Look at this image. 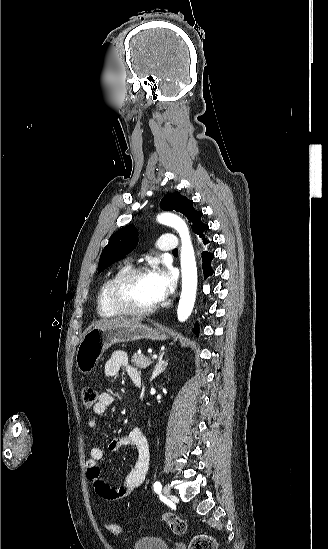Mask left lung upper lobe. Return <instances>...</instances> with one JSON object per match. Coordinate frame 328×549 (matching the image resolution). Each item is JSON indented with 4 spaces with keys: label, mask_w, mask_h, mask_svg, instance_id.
Masks as SVG:
<instances>
[{
    "label": "left lung upper lobe",
    "mask_w": 328,
    "mask_h": 549,
    "mask_svg": "<svg viewBox=\"0 0 328 549\" xmlns=\"http://www.w3.org/2000/svg\"><path fill=\"white\" fill-rule=\"evenodd\" d=\"M160 207L163 210H175L187 216L189 221L192 222L193 232L198 234L200 238L209 229V226L201 221L203 213L195 210L193 201L182 196L179 192L165 195L161 200ZM137 242L138 235L133 225H127L114 233L101 253L98 271H103L121 257L130 253L136 247Z\"/></svg>",
    "instance_id": "5c2ea615"
}]
</instances>
